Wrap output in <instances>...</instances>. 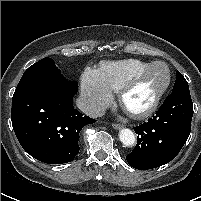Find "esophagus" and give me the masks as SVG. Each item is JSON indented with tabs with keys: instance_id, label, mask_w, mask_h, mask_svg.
Instances as JSON below:
<instances>
[{
	"instance_id": "esophagus-1",
	"label": "esophagus",
	"mask_w": 201,
	"mask_h": 201,
	"mask_svg": "<svg viewBox=\"0 0 201 201\" xmlns=\"http://www.w3.org/2000/svg\"><path fill=\"white\" fill-rule=\"evenodd\" d=\"M112 127L117 130V129H121L123 127V125L119 124V123H113Z\"/></svg>"
}]
</instances>
